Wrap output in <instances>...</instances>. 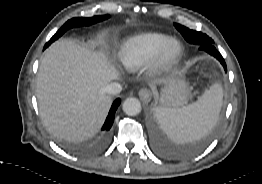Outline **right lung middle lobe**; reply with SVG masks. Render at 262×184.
Here are the masks:
<instances>
[{
    "label": "right lung middle lobe",
    "mask_w": 262,
    "mask_h": 184,
    "mask_svg": "<svg viewBox=\"0 0 262 184\" xmlns=\"http://www.w3.org/2000/svg\"><path fill=\"white\" fill-rule=\"evenodd\" d=\"M109 15H98L91 18H73L68 20L57 32L56 34L46 43L44 48L48 47L52 42L62 36L68 29L77 26H88L96 22H100L109 18Z\"/></svg>",
    "instance_id": "1"
}]
</instances>
